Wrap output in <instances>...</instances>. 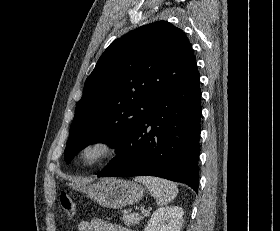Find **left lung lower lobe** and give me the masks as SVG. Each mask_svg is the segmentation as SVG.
<instances>
[{"mask_svg": "<svg viewBox=\"0 0 280 231\" xmlns=\"http://www.w3.org/2000/svg\"><path fill=\"white\" fill-rule=\"evenodd\" d=\"M201 112L196 70L154 103L97 176H156L185 183L198 193Z\"/></svg>", "mask_w": 280, "mask_h": 231, "instance_id": "1", "label": "left lung lower lobe"}]
</instances>
